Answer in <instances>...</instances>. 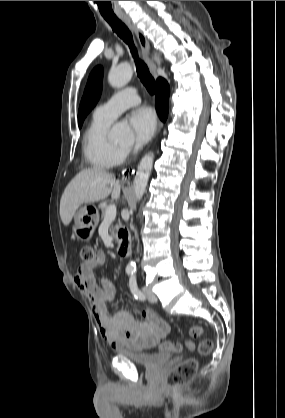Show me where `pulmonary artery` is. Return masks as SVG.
<instances>
[{"mask_svg":"<svg viewBox=\"0 0 285 418\" xmlns=\"http://www.w3.org/2000/svg\"><path fill=\"white\" fill-rule=\"evenodd\" d=\"M140 103V97L134 88L126 89L96 108L94 116L113 122L115 118L130 106Z\"/></svg>","mask_w":285,"mask_h":418,"instance_id":"obj_1","label":"pulmonary artery"}]
</instances>
